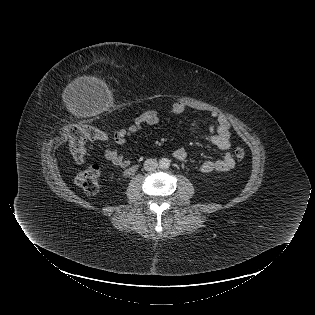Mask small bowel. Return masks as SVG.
Returning a JSON list of instances; mask_svg holds the SVG:
<instances>
[{
    "instance_id": "small-bowel-1",
    "label": "small bowel",
    "mask_w": 315,
    "mask_h": 315,
    "mask_svg": "<svg viewBox=\"0 0 315 315\" xmlns=\"http://www.w3.org/2000/svg\"><path fill=\"white\" fill-rule=\"evenodd\" d=\"M170 111L174 114H184L187 111V107L183 103L175 102L171 105ZM210 119L212 123L209 133H203L200 130V119H195L192 122V131L198 137L205 139L223 151L224 155L217 160H206L202 162L200 169L205 173L212 171L226 172L235 166V160L230 153L232 147L231 125L228 118L222 113L211 112ZM160 121L161 116L159 112L152 109L145 110L134 119L130 126L114 130L112 135L113 140L115 143L123 145L130 136L140 132L145 126H154L159 124ZM104 156L113 165L120 168H127L131 163V160L123 156L117 149L106 148L104 150ZM173 156L175 159L183 161L187 158V152L184 148L180 147L173 152Z\"/></svg>"
}]
</instances>
